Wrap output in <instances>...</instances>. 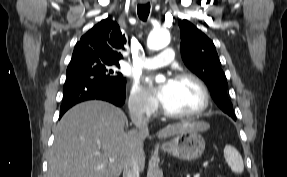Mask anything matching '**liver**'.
I'll list each match as a JSON object with an SVG mask.
<instances>
[{
	"instance_id": "obj_1",
	"label": "liver",
	"mask_w": 287,
	"mask_h": 177,
	"mask_svg": "<svg viewBox=\"0 0 287 177\" xmlns=\"http://www.w3.org/2000/svg\"><path fill=\"white\" fill-rule=\"evenodd\" d=\"M127 124L124 112L112 104L93 100L74 106L54 130L46 177H119L133 155L138 157L142 171L145 138L137 130L125 132ZM209 127L205 122L183 121L165 127L157 135L166 138L187 128L205 131Z\"/></svg>"
}]
</instances>
